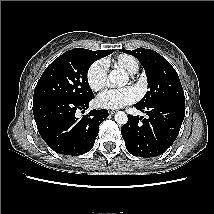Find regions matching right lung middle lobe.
Returning <instances> with one entry per match:
<instances>
[{
    "label": "right lung middle lobe",
    "instance_id": "right-lung-middle-lobe-1",
    "mask_svg": "<svg viewBox=\"0 0 214 214\" xmlns=\"http://www.w3.org/2000/svg\"><path fill=\"white\" fill-rule=\"evenodd\" d=\"M106 56L84 48L69 50L43 72L34 91L33 103L50 98L87 99L94 96L87 79L89 67Z\"/></svg>",
    "mask_w": 214,
    "mask_h": 214
}]
</instances>
